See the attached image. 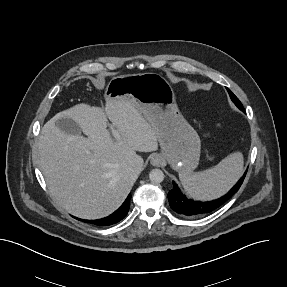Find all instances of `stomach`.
Segmentation results:
<instances>
[{"label":"stomach","mask_w":287,"mask_h":287,"mask_svg":"<svg viewBox=\"0 0 287 287\" xmlns=\"http://www.w3.org/2000/svg\"><path fill=\"white\" fill-rule=\"evenodd\" d=\"M106 100H127L156 130L162 158L179 173L192 172L199 163L201 141L180 113L173 88L160 74L142 73L113 77Z\"/></svg>","instance_id":"obj_1"}]
</instances>
